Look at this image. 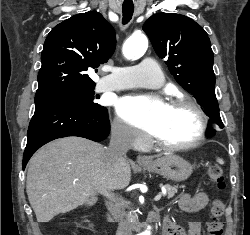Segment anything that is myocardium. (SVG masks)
<instances>
[{
	"label": "myocardium",
	"mask_w": 250,
	"mask_h": 235,
	"mask_svg": "<svg viewBox=\"0 0 250 235\" xmlns=\"http://www.w3.org/2000/svg\"><path fill=\"white\" fill-rule=\"evenodd\" d=\"M167 107H187L191 109L198 119V131L196 136L189 142L181 144H169L160 140L157 136L151 135V139L155 145L165 151H182L192 149L198 146L205 138L207 132V116L203 108L192 98L189 97H177L171 100Z\"/></svg>",
	"instance_id": "obj_1"
}]
</instances>
